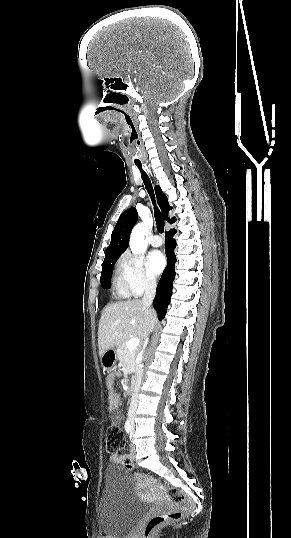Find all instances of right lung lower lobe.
<instances>
[{
	"instance_id": "right-lung-lower-lobe-1",
	"label": "right lung lower lobe",
	"mask_w": 291,
	"mask_h": 538,
	"mask_svg": "<svg viewBox=\"0 0 291 538\" xmlns=\"http://www.w3.org/2000/svg\"><path fill=\"white\" fill-rule=\"evenodd\" d=\"M176 232L177 231L175 229H171L165 235V252L168 259V265L163 271V274L156 289L155 298L153 300V306L156 309L158 317L160 319L164 318L172 295V284L175 278L174 265L176 262V257L174 254L176 241L173 239V236Z\"/></svg>"
}]
</instances>
